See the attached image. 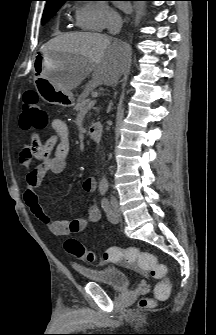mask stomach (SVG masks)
Returning a JSON list of instances; mask_svg holds the SVG:
<instances>
[{
    "mask_svg": "<svg viewBox=\"0 0 216 335\" xmlns=\"http://www.w3.org/2000/svg\"><path fill=\"white\" fill-rule=\"evenodd\" d=\"M72 57L67 53L45 52L38 55L35 62L34 84L39 96L47 103L62 107L75 105L71 91H64L56 84L55 79L70 66Z\"/></svg>",
    "mask_w": 216,
    "mask_h": 335,
    "instance_id": "stomach-1",
    "label": "stomach"
}]
</instances>
